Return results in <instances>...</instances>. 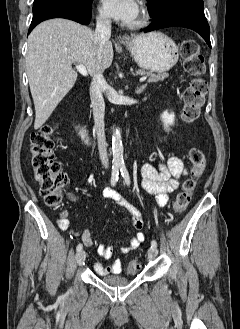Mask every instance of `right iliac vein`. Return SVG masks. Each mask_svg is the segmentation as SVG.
I'll list each match as a JSON object with an SVG mask.
<instances>
[{"instance_id":"right-iliac-vein-1","label":"right iliac vein","mask_w":240,"mask_h":329,"mask_svg":"<svg viewBox=\"0 0 240 329\" xmlns=\"http://www.w3.org/2000/svg\"><path fill=\"white\" fill-rule=\"evenodd\" d=\"M85 258H86L85 251H83V250L79 251L77 253V255H76V263H77V265H81L85 261Z\"/></svg>"}]
</instances>
